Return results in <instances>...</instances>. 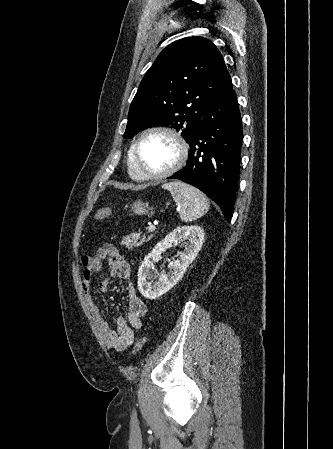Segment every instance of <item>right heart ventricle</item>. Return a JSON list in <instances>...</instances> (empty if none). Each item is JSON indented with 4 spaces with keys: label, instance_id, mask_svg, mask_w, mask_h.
I'll list each match as a JSON object with an SVG mask.
<instances>
[{
    "label": "right heart ventricle",
    "instance_id": "right-heart-ventricle-1",
    "mask_svg": "<svg viewBox=\"0 0 333 449\" xmlns=\"http://www.w3.org/2000/svg\"><path fill=\"white\" fill-rule=\"evenodd\" d=\"M127 169H128V173H129L131 178H133L135 180H141L139 175H138V173H137V171H136V169H135L132 148H130V150L128 152Z\"/></svg>",
    "mask_w": 333,
    "mask_h": 449
}]
</instances>
